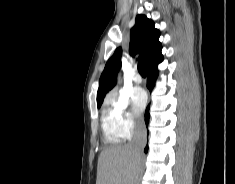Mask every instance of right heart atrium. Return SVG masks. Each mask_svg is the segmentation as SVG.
<instances>
[{
    "label": "right heart atrium",
    "mask_w": 235,
    "mask_h": 184,
    "mask_svg": "<svg viewBox=\"0 0 235 184\" xmlns=\"http://www.w3.org/2000/svg\"><path fill=\"white\" fill-rule=\"evenodd\" d=\"M103 105L111 114L113 126L121 139H130L142 130V122L131 112L129 99L125 94L111 91L105 97Z\"/></svg>",
    "instance_id": "right-heart-atrium-1"
}]
</instances>
